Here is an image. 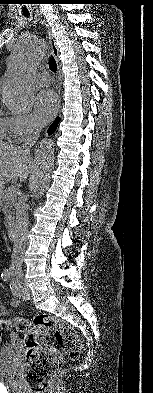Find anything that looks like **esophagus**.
<instances>
[{
  "instance_id": "esophagus-1",
  "label": "esophagus",
  "mask_w": 153,
  "mask_h": 393,
  "mask_svg": "<svg viewBox=\"0 0 153 393\" xmlns=\"http://www.w3.org/2000/svg\"><path fill=\"white\" fill-rule=\"evenodd\" d=\"M48 35H49V42H50V46H51V52L56 60L57 63V69H58V80H61V64H60V60H59V49L56 45V41L54 39L53 34L51 33V30L48 28L47 30Z\"/></svg>"
}]
</instances>
